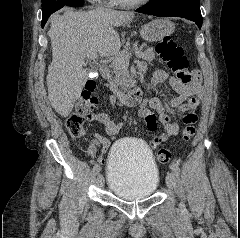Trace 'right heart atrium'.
Listing matches in <instances>:
<instances>
[{
	"label": "right heart atrium",
	"instance_id": "d8ad5b80",
	"mask_svg": "<svg viewBox=\"0 0 240 238\" xmlns=\"http://www.w3.org/2000/svg\"><path fill=\"white\" fill-rule=\"evenodd\" d=\"M89 1H94V2H100V1L110 2L111 0H89Z\"/></svg>",
	"mask_w": 240,
	"mask_h": 238
}]
</instances>
